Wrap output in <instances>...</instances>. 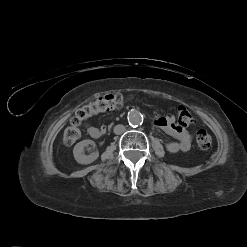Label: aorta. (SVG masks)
Masks as SVG:
<instances>
[{
  "label": "aorta",
  "instance_id": "aorta-1",
  "mask_svg": "<svg viewBox=\"0 0 247 247\" xmlns=\"http://www.w3.org/2000/svg\"><path fill=\"white\" fill-rule=\"evenodd\" d=\"M143 118L139 111L131 110L128 113V122L131 126H138L142 124Z\"/></svg>",
  "mask_w": 247,
  "mask_h": 247
}]
</instances>
